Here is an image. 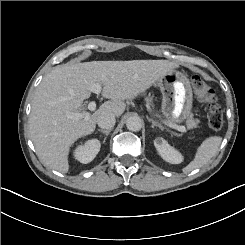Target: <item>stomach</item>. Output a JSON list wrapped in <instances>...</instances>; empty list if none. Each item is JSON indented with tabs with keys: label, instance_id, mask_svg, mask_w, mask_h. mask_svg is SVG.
<instances>
[{
	"label": "stomach",
	"instance_id": "0dacf381",
	"mask_svg": "<svg viewBox=\"0 0 245 245\" xmlns=\"http://www.w3.org/2000/svg\"><path fill=\"white\" fill-rule=\"evenodd\" d=\"M157 86L163 95V114L172 121L180 122L190 115L192 89L186 75L169 69L158 78Z\"/></svg>",
	"mask_w": 245,
	"mask_h": 245
}]
</instances>
